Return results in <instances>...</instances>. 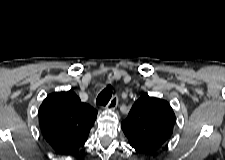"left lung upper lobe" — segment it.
I'll return each instance as SVG.
<instances>
[{
    "mask_svg": "<svg viewBox=\"0 0 225 160\" xmlns=\"http://www.w3.org/2000/svg\"><path fill=\"white\" fill-rule=\"evenodd\" d=\"M174 123L175 114L167 101L144 94L134 103L121 127L136 152L151 154L168 141Z\"/></svg>",
    "mask_w": 225,
    "mask_h": 160,
    "instance_id": "5c2ea615",
    "label": "left lung upper lobe"
}]
</instances>
